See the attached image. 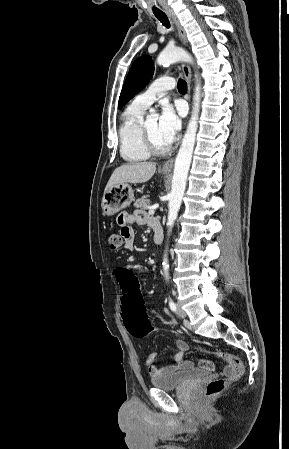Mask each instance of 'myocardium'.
<instances>
[{"label":"myocardium","instance_id":"1","mask_svg":"<svg viewBox=\"0 0 289 449\" xmlns=\"http://www.w3.org/2000/svg\"><path fill=\"white\" fill-rule=\"evenodd\" d=\"M141 131H142V138H143V143L145 146V149L147 150V152L149 153V155H153V156H164L166 154H168L171 150V146L168 145L165 148H159L152 140L150 133L146 127V124L143 123L141 126Z\"/></svg>","mask_w":289,"mask_h":449}]
</instances>
